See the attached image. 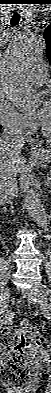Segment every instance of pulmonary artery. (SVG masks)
<instances>
[{"instance_id":"obj_1","label":"pulmonary artery","mask_w":51,"mask_h":393,"mask_svg":"<svg viewBox=\"0 0 51 393\" xmlns=\"http://www.w3.org/2000/svg\"><path fill=\"white\" fill-rule=\"evenodd\" d=\"M29 82L33 85H41L47 78L45 75V67L42 64H36L32 67L27 75Z\"/></svg>"}]
</instances>
